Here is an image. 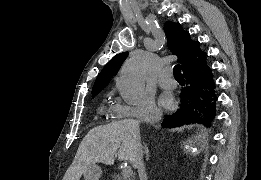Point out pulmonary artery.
Here are the masks:
<instances>
[{"instance_id":"pulmonary-artery-1","label":"pulmonary artery","mask_w":261,"mask_h":180,"mask_svg":"<svg viewBox=\"0 0 261 180\" xmlns=\"http://www.w3.org/2000/svg\"><path fill=\"white\" fill-rule=\"evenodd\" d=\"M159 85L164 89H174L176 87V82L172 79V70L163 69L159 79Z\"/></svg>"}]
</instances>
